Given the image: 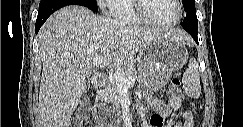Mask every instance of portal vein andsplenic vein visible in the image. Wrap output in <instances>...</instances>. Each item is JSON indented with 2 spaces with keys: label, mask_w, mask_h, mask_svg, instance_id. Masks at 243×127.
<instances>
[{
  "label": "portal vein and splenic vein",
  "mask_w": 243,
  "mask_h": 127,
  "mask_svg": "<svg viewBox=\"0 0 243 127\" xmlns=\"http://www.w3.org/2000/svg\"><path fill=\"white\" fill-rule=\"evenodd\" d=\"M103 60L104 58L101 56L95 57L92 63L94 66L99 67V65L103 63ZM113 76L120 87H129L131 84L135 82V78L133 76L127 79L123 74L119 72L114 73Z\"/></svg>",
  "instance_id": "1"
}]
</instances>
